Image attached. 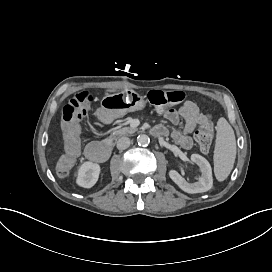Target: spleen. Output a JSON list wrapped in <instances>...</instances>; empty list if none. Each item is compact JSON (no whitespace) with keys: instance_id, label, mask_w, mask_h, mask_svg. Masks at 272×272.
I'll return each instance as SVG.
<instances>
[{"instance_id":"3e777b00","label":"spleen","mask_w":272,"mask_h":272,"mask_svg":"<svg viewBox=\"0 0 272 272\" xmlns=\"http://www.w3.org/2000/svg\"><path fill=\"white\" fill-rule=\"evenodd\" d=\"M216 131L214 173L218 181H224L233 169L236 158V140L231 125L223 117L219 118Z\"/></svg>"}]
</instances>
